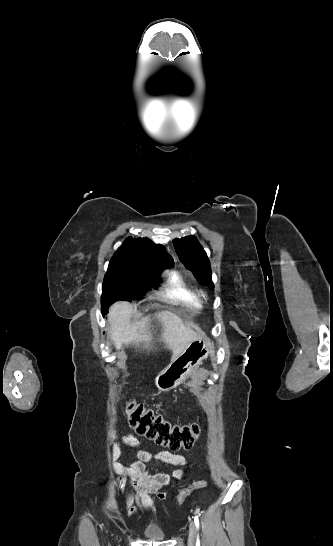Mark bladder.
Wrapping results in <instances>:
<instances>
[{
    "mask_svg": "<svg viewBox=\"0 0 333 546\" xmlns=\"http://www.w3.org/2000/svg\"><path fill=\"white\" fill-rule=\"evenodd\" d=\"M143 536L149 540L161 541L165 539V533L158 527H148L143 531Z\"/></svg>",
    "mask_w": 333,
    "mask_h": 546,
    "instance_id": "bladder-1",
    "label": "bladder"
}]
</instances>
